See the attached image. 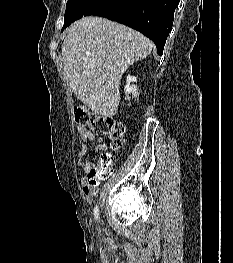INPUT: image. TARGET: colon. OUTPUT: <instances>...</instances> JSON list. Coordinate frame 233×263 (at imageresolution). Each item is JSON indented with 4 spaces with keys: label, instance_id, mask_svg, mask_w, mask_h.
Listing matches in <instances>:
<instances>
[{
    "label": "colon",
    "instance_id": "1",
    "mask_svg": "<svg viewBox=\"0 0 233 263\" xmlns=\"http://www.w3.org/2000/svg\"><path fill=\"white\" fill-rule=\"evenodd\" d=\"M75 121L80 126H88L97 135H106L111 139V148L118 151L125 145V126L109 117L97 116L88 110L78 107L74 111ZM113 158L111 154H102L93 164L87 175V180L92 189L98 188V180H108L112 170Z\"/></svg>",
    "mask_w": 233,
    "mask_h": 263
}]
</instances>
